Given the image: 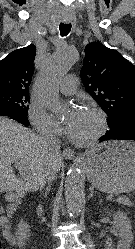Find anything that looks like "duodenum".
Returning <instances> with one entry per match:
<instances>
[{"mask_svg": "<svg viewBox=\"0 0 135 249\" xmlns=\"http://www.w3.org/2000/svg\"><path fill=\"white\" fill-rule=\"evenodd\" d=\"M8 200L12 203L13 207L12 209L14 210H17L22 202H23V195L18 192V193H14V194H11L9 197H8Z\"/></svg>", "mask_w": 135, "mask_h": 249, "instance_id": "obj_1", "label": "duodenum"}]
</instances>
